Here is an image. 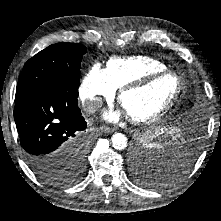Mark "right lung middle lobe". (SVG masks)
Returning a JSON list of instances; mask_svg holds the SVG:
<instances>
[{
  "instance_id": "right-lung-middle-lobe-1",
  "label": "right lung middle lobe",
  "mask_w": 221,
  "mask_h": 221,
  "mask_svg": "<svg viewBox=\"0 0 221 221\" xmlns=\"http://www.w3.org/2000/svg\"><path fill=\"white\" fill-rule=\"evenodd\" d=\"M86 48L77 43H57L48 46L24 65L16 88L15 100L40 89L62 88L78 92L80 63ZM90 143L76 149L73 158L61 170L56 165H43L38 177L52 185L64 186L76 182L84 170Z\"/></svg>"
}]
</instances>
